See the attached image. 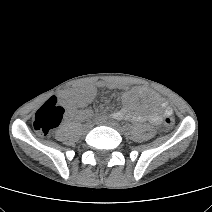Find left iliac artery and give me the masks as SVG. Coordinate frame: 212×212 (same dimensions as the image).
Here are the masks:
<instances>
[{
	"mask_svg": "<svg viewBox=\"0 0 212 212\" xmlns=\"http://www.w3.org/2000/svg\"><path fill=\"white\" fill-rule=\"evenodd\" d=\"M122 128H123L124 130H128V127H127L126 125H123Z\"/></svg>",
	"mask_w": 212,
	"mask_h": 212,
	"instance_id": "left-iliac-artery-1",
	"label": "left iliac artery"
}]
</instances>
